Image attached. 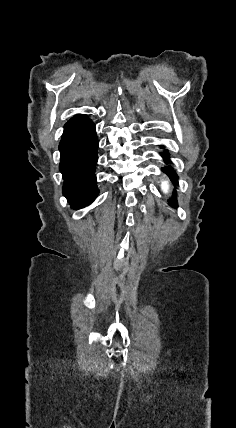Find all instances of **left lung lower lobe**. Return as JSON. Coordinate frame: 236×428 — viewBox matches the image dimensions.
Segmentation results:
<instances>
[{
  "label": "left lung lower lobe",
  "instance_id": "0a47b994",
  "mask_svg": "<svg viewBox=\"0 0 236 428\" xmlns=\"http://www.w3.org/2000/svg\"><path fill=\"white\" fill-rule=\"evenodd\" d=\"M162 156H163V158H164V160H165L166 163L170 162V160H169V154L167 152L162 153ZM162 171L165 172V173H167V175L171 178V180L175 184L178 183V181H177L178 180V176H177L176 172L171 167H164V168H162ZM174 191H176V190H174ZM168 203L172 207H176L177 206V200L176 199L171 198V199L168 200Z\"/></svg>",
  "mask_w": 236,
  "mask_h": 428
}]
</instances>
